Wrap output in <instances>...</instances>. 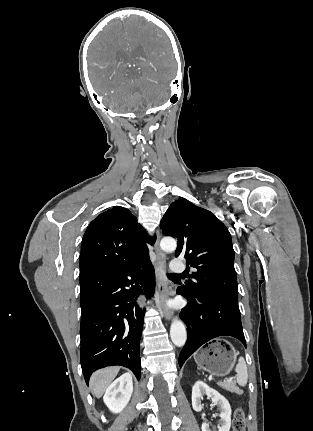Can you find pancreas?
<instances>
[{
  "instance_id": "1",
  "label": "pancreas",
  "mask_w": 313,
  "mask_h": 431,
  "mask_svg": "<svg viewBox=\"0 0 313 431\" xmlns=\"http://www.w3.org/2000/svg\"><path fill=\"white\" fill-rule=\"evenodd\" d=\"M221 387L230 391V392H235L237 394H241V390L238 389L234 383H224L221 385Z\"/></svg>"
}]
</instances>
